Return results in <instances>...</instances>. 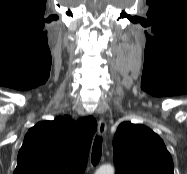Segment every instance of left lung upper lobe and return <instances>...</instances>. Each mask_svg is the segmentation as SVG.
Masks as SVG:
<instances>
[{
  "label": "left lung upper lobe",
  "mask_w": 187,
  "mask_h": 174,
  "mask_svg": "<svg viewBox=\"0 0 187 174\" xmlns=\"http://www.w3.org/2000/svg\"><path fill=\"white\" fill-rule=\"evenodd\" d=\"M116 174H174L162 139L148 127L123 122L113 139Z\"/></svg>",
  "instance_id": "1"
}]
</instances>
